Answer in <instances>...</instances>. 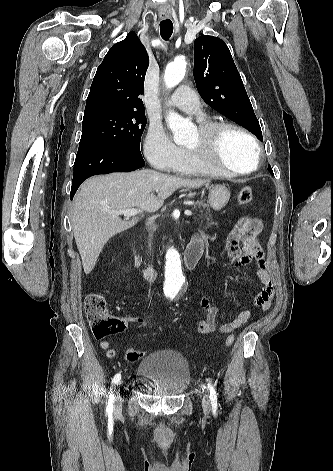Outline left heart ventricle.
Returning <instances> with one entry per match:
<instances>
[{"label":"left heart ventricle","mask_w":333,"mask_h":471,"mask_svg":"<svg viewBox=\"0 0 333 471\" xmlns=\"http://www.w3.org/2000/svg\"><path fill=\"white\" fill-rule=\"evenodd\" d=\"M199 139V133L196 131L188 141L187 147H197ZM215 157L227 168L247 170L255 163V150L243 134L234 130H224L217 138Z\"/></svg>","instance_id":"b2bd125f"}]
</instances>
